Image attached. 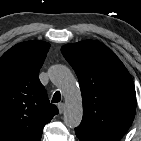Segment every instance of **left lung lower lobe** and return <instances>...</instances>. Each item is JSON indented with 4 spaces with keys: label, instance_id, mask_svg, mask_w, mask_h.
I'll return each mask as SVG.
<instances>
[{
    "label": "left lung lower lobe",
    "instance_id": "obj_1",
    "mask_svg": "<svg viewBox=\"0 0 141 141\" xmlns=\"http://www.w3.org/2000/svg\"><path fill=\"white\" fill-rule=\"evenodd\" d=\"M79 138V137H78ZM80 139V141H84L83 139H81V138H79Z\"/></svg>",
    "mask_w": 141,
    "mask_h": 141
}]
</instances>
